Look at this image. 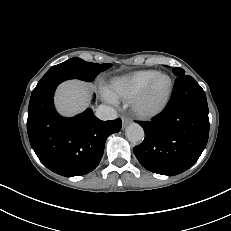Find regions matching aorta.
I'll return each mask as SVG.
<instances>
[{
    "mask_svg": "<svg viewBox=\"0 0 231 231\" xmlns=\"http://www.w3.org/2000/svg\"><path fill=\"white\" fill-rule=\"evenodd\" d=\"M126 136L130 142L138 143L144 139V130L139 124L132 123L126 129Z\"/></svg>",
    "mask_w": 231,
    "mask_h": 231,
    "instance_id": "1",
    "label": "aorta"
}]
</instances>
